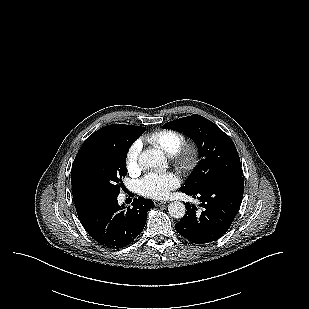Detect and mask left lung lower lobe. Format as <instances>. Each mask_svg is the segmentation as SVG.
Segmentation results:
<instances>
[{"label": "left lung lower lobe", "mask_w": 309, "mask_h": 309, "mask_svg": "<svg viewBox=\"0 0 309 309\" xmlns=\"http://www.w3.org/2000/svg\"><path fill=\"white\" fill-rule=\"evenodd\" d=\"M181 191L198 198L203 211L197 213V207L187 203L186 214L175 228L191 243L207 244L222 237L230 228L242 202L244 181L233 178L199 190Z\"/></svg>", "instance_id": "0a47b994"}]
</instances>
